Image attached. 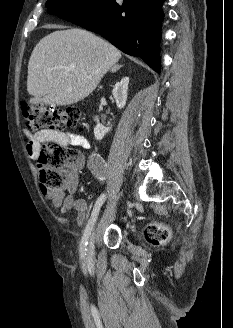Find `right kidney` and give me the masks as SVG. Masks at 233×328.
I'll return each mask as SVG.
<instances>
[{
    "mask_svg": "<svg viewBox=\"0 0 233 328\" xmlns=\"http://www.w3.org/2000/svg\"><path fill=\"white\" fill-rule=\"evenodd\" d=\"M129 78L124 77L120 82H117L113 88V97L116 101V105L119 109H122L127 100V90H128ZM95 121L97 122L94 128V136L97 140H102L106 133L110 131V127H105L99 122V118L96 116Z\"/></svg>",
    "mask_w": 233,
    "mask_h": 328,
    "instance_id": "ca27d5eb",
    "label": "right kidney"
}]
</instances>
